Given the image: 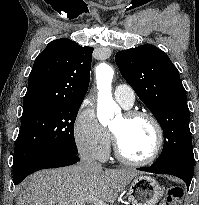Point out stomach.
Segmentation results:
<instances>
[{
  "mask_svg": "<svg viewBox=\"0 0 199 205\" xmlns=\"http://www.w3.org/2000/svg\"><path fill=\"white\" fill-rule=\"evenodd\" d=\"M164 190L154 178L138 175L130 182L128 197L133 205H156L163 197Z\"/></svg>",
  "mask_w": 199,
  "mask_h": 205,
  "instance_id": "stomach-1",
  "label": "stomach"
}]
</instances>
